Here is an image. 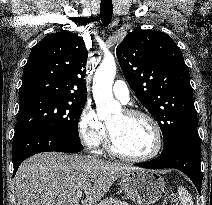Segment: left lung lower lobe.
I'll return each instance as SVG.
<instances>
[{"instance_id":"left-lung-lower-lobe-1","label":"left lung lower lobe","mask_w":212,"mask_h":205,"mask_svg":"<svg viewBox=\"0 0 212 205\" xmlns=\"http://www.w3.org/2000/svg\"><path fill=\"white\" fill-rule=\"evenodd\" d=\"M135 165L147 169H178L192 180L201 193V145L197 127L186 132L170 151L156 159Z\"/></svg>"}]
</instances>
